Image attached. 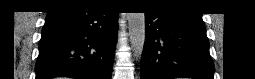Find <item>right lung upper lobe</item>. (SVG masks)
I'll use <instances>...</instances> for the list:
<instances>
[{"label":"right lung upper lobe","instance_id":"1","mask_svg":"<svg viewBox=\"0 0 255 79\" xmlns=\"http://www.w3.org/2000/svg\"><path fill=\"white\" fill-rule=\"evenodd\" d=\"M87 2L91 1H84V0H59L55 2L56 4L52 7L53 10L58 9V8H63V7H68V6H88V5H83Z\"/></svg>","mask_w":255,"mask_h":79}]
</instances>
